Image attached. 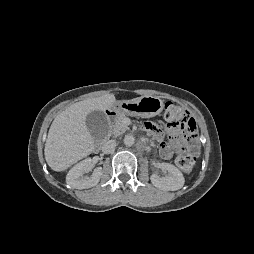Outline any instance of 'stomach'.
<instances>
[{
	"label": "stomach",
	"mask_w": 254,
	"mask_h": 254,
	"mask_svg": "<svg viewBox=\"0 0 254 254\" xmlns=\"http://www.w3.org/2000/svg\"><path fill=\"white\" fill-rule=\"evenodd\" d=\"M163 100L156 96H143L138 100L116 102L109 110L114 116L129 115L151 118L162 112Z\"/></svg>",
	"instance_id": "stomach-1"
}]
</instances>
